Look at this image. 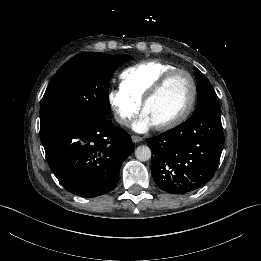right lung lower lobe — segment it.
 <instances>
[{
  "mask_svg": "<svg viewBox=\"0 0 261 261\" xmlns=\"http://www.w3.org/2000/svg\"><path fill=\"white\" fill-rule=\"evenodd\" d=\"M40 138L52 172L67 191L81 197L111 191L133 152L127 132L100 116L52 122L41 129Z\"/></svg>",
  "mask_w": 261,
  "mask_h": 261,
  "instance_id": "obj_1",
  "label": "right lung lower lobe"
}]
</instances>
